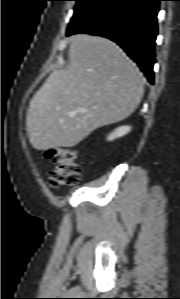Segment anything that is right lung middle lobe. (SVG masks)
<instances>
[{
  "mask_svg": "<svg viewBox=\"0 0 180 299\" xmlns=\"http://www.w3.org/2000/svg\"><path fill=\"white\" fill-rule=\"evenodd\" d=\"M76 6L74 9L73 17L69 23V27L74 25L78 20L89 14L94 8H96L104 0H74ZM68 27V28H69Z\"/></svg>",
  "mask_w": 180,
  "mask_h": 299,
  "instance_id": "obj_1",
  "label": "right lung middle lobe"
}]
</instances>
